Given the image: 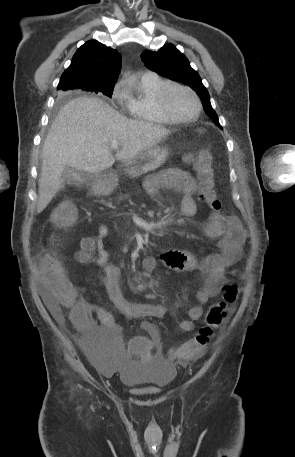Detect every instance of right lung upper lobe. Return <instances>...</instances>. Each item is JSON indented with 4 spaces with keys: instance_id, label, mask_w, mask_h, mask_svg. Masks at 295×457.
Wrapping results in <instances>:
<instances>
[{
    "instance_id": "obj_1",
    "label": "right lung upper lobe",
    "mask_w": 295,
    "mask_h": 457,
    "mask_svg": "<svg viewBox=\"0 0 295 457\" xmlns=\"http://www.w3.org/2000/svg\"><path fill=\"white\" fill-rule=\"evenodd\" d=\"M120 67L121 55L116 49L106 47L98 41H87L74 54L71 65L61 76L58 89H73L72 85L79 83L90 86L89 91L114 85Z\"/></svg>"
}]
</instances>
